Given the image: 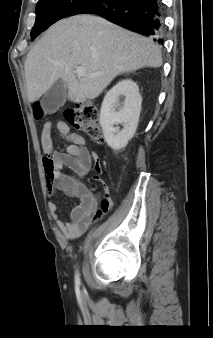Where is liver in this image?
I'll list each match as a JSON object with an SVG mask.
<instances>
[{
  "label": "liver",
  "instance_id": "liver-1",
  "mask_svg": "<svg viewBox=\"0 0 213 338\" xmlns=\"http://www.w3.org/2000/svg\"><path fill=\"white\" fill-rule=\"evenodd\" d=\"M161 65V49L151 39L101 17L76 15L52 25L29 51L24 64L27 96L33 103L61 79L68 99L83 103L97 98L120 74ZM77 67L95 76L77 78Z\"/></svg>",
  "mask_w": 213,
  "mask_h": 338
}]
</instances>
